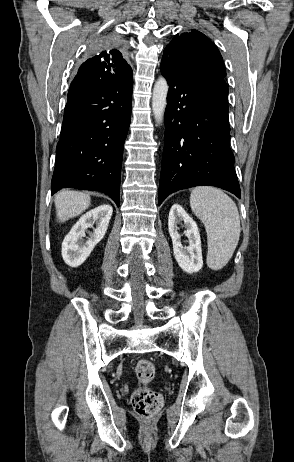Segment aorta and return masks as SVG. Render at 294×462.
<instances>
[{
  "instance_id": "762f6f07",
  "label": "aorta",
  "mask_w": 294,
  "mask_h": 462,
  "mask_svg": "<svg viewBox=\"0 0 294 462\" xmlns=\"http://www.w3.org/2000/svg\"><path fill=\"white\" fill-rule=\"evenodd\" d=\"M169 86L164 77H159L153 88L152 110L155 120L161 123L167 105V94Z\"/></svg>"
}]
</instances>
